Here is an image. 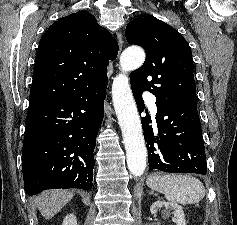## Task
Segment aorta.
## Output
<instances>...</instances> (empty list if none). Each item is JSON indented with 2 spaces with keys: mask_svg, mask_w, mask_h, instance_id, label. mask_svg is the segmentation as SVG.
Segmentation results:
<instances>
[{
  "mask_svg": "<svg viewBox=\"0 0 237 225\" xmlns=\"http://www.w3.org/2000/svg\"><path fill=\"white\" fill-rule=\"evenodd\" d=\"M144 60L145 52L143 49L129 47L124 50L120 56L122 73L114 78L112 84V100L122 131L127 166L135 177L141 176L146 169L147 149L141 120L126 73L139 68Z\"/></svg>",
  "mask_w": 237,
  "mask_h": 225,
  "instance_id": "1",
  "label": "aorta"
}]
</instances>
